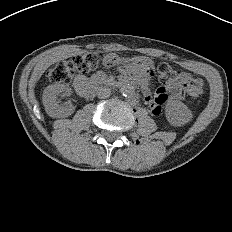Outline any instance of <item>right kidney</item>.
<instances>
[{"mask_svg":"<svg viewBox=\"0 0 232 232\" xmlns=\"http://www.w3.org/2000/svg\"><path fill=\"white\" fill-rule=\"evenodd\" d=\"M71 89L63 84H51L47 86L42 95V102L46 113L52 118H65L74 113V106L60 105L57 98L59 94H70Z\"/></svg>","mask_w":232,"mask_h":232,"instance_id":"ca27d5eb","label":"right kidney"}]
</instances>
